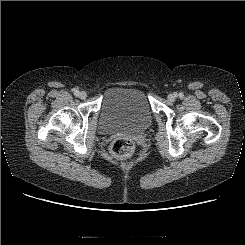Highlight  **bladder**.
I'll return each instance as SVG.
<instances>
[{"instance_id": "obj_1", "label": "bladder", "mask_w": 245, "mask_h": 245, "mask_svg": "<svg viewBox=\"0 0 245 245\" xmlns=\"http://www.w3.org/2000/svg\"><path fill=\"white\" fill-rule=\"evenodd\" d=\"M152 120L148 97L141 88L115 86L108 90L101 111L104 131H142Z\"/></svg>"}]
</instances>
